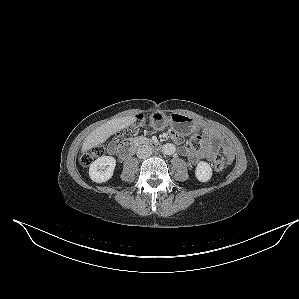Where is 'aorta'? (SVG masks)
Segmentation results:
<instances>
[{
	"label": "aorta",
	"instance_id": "obj_1",
	"mask_svg": "<svg viewBox=\"0 0 299 299\" xmlns=\"http://www.w3.org/2000/svg\"><path fill=\"white\" fill-rule=\"evenodd\" d=\"M176 151L175 145L167 143L163 146V153L166 155H172Z\"/></svg>",
	"mask_w": 299,
	"mask_h": 299
}]
</instances>
